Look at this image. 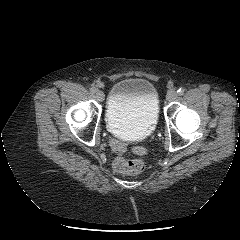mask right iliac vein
I'll use <instances>...</instances> for the list:
<instances>
[{"label": "right iliac vein", "instance_id": "right-iliac-vein-1", "mask_svg": "<svg viewBox=\"0 0 240 240\" xmlns=\"http://www.w3.org/2000/svg\"><path fill=\"white\" fill-rule=\"evenodd\" d=\"M96 98L99 102H103L104 101V98H105V95L102 91L100 90H97L96 91Z\"/></svg>", "mask_w": 240, "mask_h": 240}]
</instances>
